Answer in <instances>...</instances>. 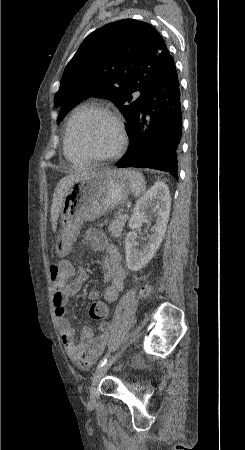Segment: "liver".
Listing matches in <instances>:
<instances>
[{"label":"liver","mask_w":245,"mask_h":450,"mask_svg":"<svg viewBox=\"0 0 245 450\" xmlns=\"http://www.w3.org/2000/svg\"><path fill=\"white\" fill-rule=\"evenodd\" d=\"M92 170L78 171L71 173L61 179L55 188L51 206L52 229L56 230L57 220L62 208L64 196L69 190L71 184L78 178L88 175Z\"/></svg>","instance_id":"obj_1"}]
</instances>
